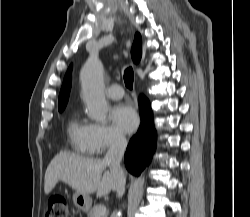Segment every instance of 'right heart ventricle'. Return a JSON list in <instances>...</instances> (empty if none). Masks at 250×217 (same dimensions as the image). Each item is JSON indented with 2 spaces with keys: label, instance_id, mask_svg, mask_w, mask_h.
Masks as SVG:
<instances>
[{
  "label": "right heart ventricle",
  "instance_id": "1",
  "mask_svg": "<svg viewBox=\"0 0 250 217\" xmlns=\"http://www.w3.org/2000/svg\"><path fill=\"white\" fill-rule=\"evenodd\" d=\"M67 135L74 151L80 154H90L89 124L82 120L78 113H73L67 123Z\"/></svg>",
  "mask_w": 250,
  "mask_h": 217
}]
</instances>
